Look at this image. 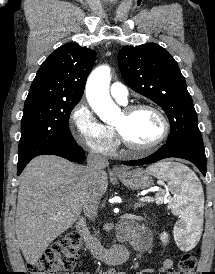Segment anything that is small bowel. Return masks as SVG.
<instances>
[{"label": "small bowel", "instance_id": "1", "mask_svg": "<svg viewBox=\"0 0 215 274\" xmlns=\"http://www.w3.org/2000/svg\"><path fill=\"white\" fill-rule=\"evenodd\" d=\"M172 267H173L172 259L167 258L162 262V264L160 265V267L158 268L157 271L158 272H163V273H166V274H178V272L171 271ZM153 272H155L154 269H145L142 272L137 273V274H150V273H153ZM74 274H89V273L87 271H81V272H77V273H74ZM101 274H124V273L116 272L114 270H108V271L102 272Z\"/></svg>", "mask_w": 215, "mask_h": 274}]
</instances>
